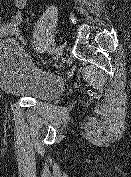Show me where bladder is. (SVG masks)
<instances>
[{
    "instance_id": "obj_1",
    "label": "bladder",
    "mask_w": 131,
    "mask_h": 177,
    "mask_svg": "<svg viewBox=\"0 0 131 177\" xmlns=\"http://www.w3.org/2000/svg\"><path fill=\"white\" fill-rule=\"evenodd\" d=\"M0 89L8 95L47 101L64 90L63 78L33 63L19 43L0 42Z\"/></svg>"
}]
</instances>
